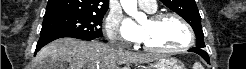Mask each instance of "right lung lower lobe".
Returning <instances> with one entry per match:
<instances>
[{
    "instance_id": "1",
    "label": "right lung lower lobe",
    "mask_w": 246,
    "mask_h": 69,
    "mask_svg": "<svg viewBox=\"0 0 246 69\" xmlns=\"http://www.w3.org/2000/svg\"><path fill=\"white\" fill-rule=\"evenodd\" d=\"M62 37H73V38L82 39V40L100 39V38H81V37H77L74 35H60V34L42 35V36H40V39L37 42L36 52H38L43 46H45L49 42L56 40L58 38H62Z\"/></svg>"
}]
</instances>
